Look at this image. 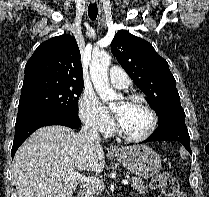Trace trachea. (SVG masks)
I'll list each match as a JSON object with an SVG mask.
<instances>
[{
    "label": "trachea",
    "mask_w": 209,
    "mask_h": 197,
    "mask_svg": "<svg viewBox=\"0 0 209 197\" xmlns=\"http://www.w3.org/2000/svg\"><path fill=\"white\" fill-rule=\"evenodd\" d=\"M98 14V7L96 3L89 4L88 7V16L91 20H95Z\"/></svg>",
    "instance_id": "3493384b"
}]
</instances>
